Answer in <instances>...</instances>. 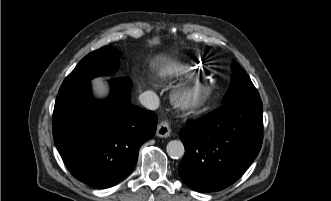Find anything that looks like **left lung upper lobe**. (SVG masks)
I'll return each mask as SVG.
<instances>
[{
	"instance_id": "1",
	"label": "left lung upper lobe",
	"mask_w": 331,
	"mask_h": 201,
	"mask_svg": "<svg viewBox=\"0 0 331 201\" xmlns=\"http://www.w3.org/2000/svg\"><path fill=\"white\" fill-rule=\"evenodd\" d=\"M231 69V84L222 100L223 104L260 98L251 80L236 62L233 61Z\"/></svg>"
}]
</instances>
